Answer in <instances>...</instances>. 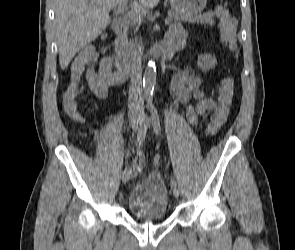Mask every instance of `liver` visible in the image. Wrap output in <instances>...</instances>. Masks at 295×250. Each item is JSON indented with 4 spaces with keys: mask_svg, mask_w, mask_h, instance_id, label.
Returning <instances> with one entry per match:
<instances>
[{
    "mask_svg": "<svg viewBox=\"0 0 295 250\" xmlns=\"http://www.w3.org/2000/svg\"><path fill=\"white\" fill-rule=\"evenodd\" d=\"M128 0H56L55 32L60 67L64 70L73 57L94 41L109 25L111 8ZM160 0H134L132 6L144 15Z\"/></svg>",
    "mask_w": 295,
    "mask_h": 250,
    "instance_id": "liver-1",
    "label": "liver"
}]
</instances>
